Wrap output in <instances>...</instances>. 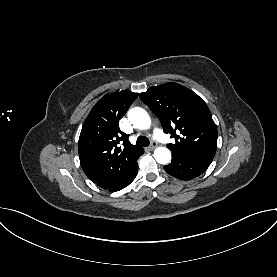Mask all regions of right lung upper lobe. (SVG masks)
Wrapping results in <instances>:
<instances>
[{
  "mask_svg": "<svg viewBox=\"0 0 277 277\" xmlns=\"http://www.w3.org/2000/svg\"><path fill=\"white\" fill-rule=\"evenodd\" d=\"M137 97L138 93L129 90L106 94L83 124L78 143L81 167L103 189L123 178L144 152L129 142V135L118 125Z\"/></svg>",
  "mask_w": 277,
  "mask_h": 277,
  "instance_id": "cb5924a9",
  "label": "right lung upper lobe"
}]
</instances>
